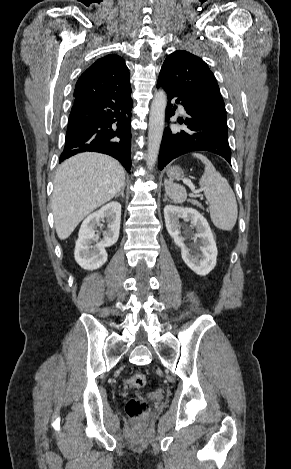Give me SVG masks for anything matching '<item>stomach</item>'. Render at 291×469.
Instances as JSON below:
<instances>
[{"label":"stomach","instance_id":"1","mask_svg":"<svg viewBox=\"0 0 291 469\" xmlns=\"http://www.w3.org/2000/svg\"><path fill=\"white\" fill-rule=\"evenodd\" d=\"M182 169L178 166H172L167 170L168 177L173 179H179L182 176Z\"/></svg>","mask_w":291,"mask_h":469}]
</instances>
